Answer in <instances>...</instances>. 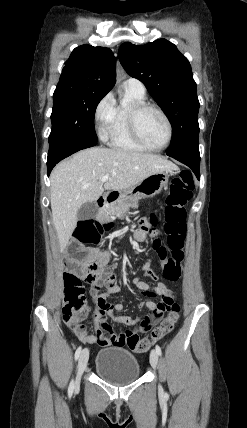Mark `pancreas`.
Wrapping results in <instances>:
<instances>
[{"label": "pancreas", "instance_id": "obj_1", "mask_svg": "<svg viewBox=\"0 0 247 428\" xmlns=\"http://www.w3.org/2000/svg\"><path fill=\"white\" fill-rule=\"evenodd\" d=\"M137 203H128L124 199L120 198L115 204L103 208L99 219L106 221L114 215H121L126 213L130 207H135Z\"/></svg>", "mask_w": 247, "mask_h": 428}]
</instances>
